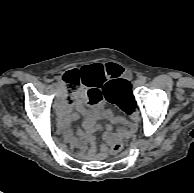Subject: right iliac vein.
<instances>
[{
  "mask_svg": "<svg viewBox=\"0 0 194 193\" xmlns=\"http://www.w3.org/2000/svg\"><path fill=\"white\" fill-rule=\"evenodd\" d=\"M57 96H58L59 99H62L63 98V89H62V86H58ZM57 114L59 115V112H57Z\"/></svg>",
  "mask_w": 194,
  "mask_h": 193,
  "instance_id": "right-iliac-vein-1",
  "label": "right iliac vein"
}]
</instances>
